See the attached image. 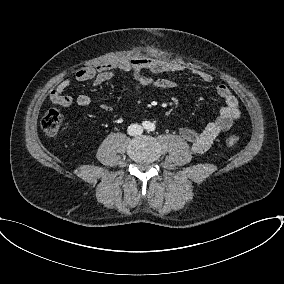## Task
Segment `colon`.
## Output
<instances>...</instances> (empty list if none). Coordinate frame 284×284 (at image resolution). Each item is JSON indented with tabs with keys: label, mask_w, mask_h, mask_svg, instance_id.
<instances>
[{
	"label": "colon",
	"mask_w": 284,
	"mask_h": 284,
	"mask_svg": "<svg viewBox=\"0 0 284 284\" xmlns=\"http://www.w3.org/2000/svg\"><path fill=\"white\" fill-rule=\"evenodd\" d=\"M62 116L58 109L51 108L45 112L41 118V128L48 136H55L59 133L61 128ZM238 138L236 136H230L227 139V145L229 148H233L237 145Z\"/></svg>",
	"instance_id": "5ec220e1"
}]
</instances>
